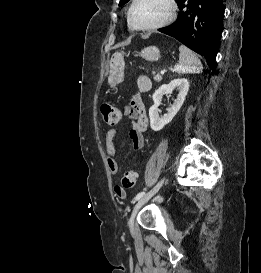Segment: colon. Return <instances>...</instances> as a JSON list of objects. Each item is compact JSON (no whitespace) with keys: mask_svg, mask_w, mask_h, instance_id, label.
<instances>
[{"mask_svg":"<svg viewBox=\"0 0 261 273\" xmlns=\"http://www.w3.org/2000/svg\"><path fill=\"white\" fill-rule=\"evenodd\" d=\"M101 113L103 115L104 121L108 125H116L120 120V111L117 107L104 103L101 106ZM138 178V173L136 170L126 171L120 180V185L117 186V192L122 193L126 189H131L135 186Z\"/></svg>","mask_w":261,"mask_h":273,"instance_id":"obj_1","label":"colon"}]
</instances>
